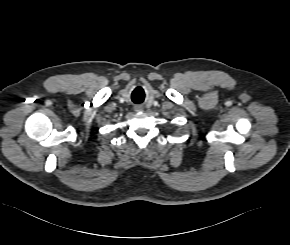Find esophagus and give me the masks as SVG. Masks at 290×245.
<instances>
[{"instance_id":"esophagus-1","label":"esophagus","mask_w":290,"mask_h":245,"mask_svg":"<svg viewBox=\"0 0 290 245\" xmlns=\"http://www.w3.org/2000/svg\"><path fill=\"white\" fill-rule=\"evenodd\" d=\"M139 108H140V107H136L135 110H136V111H139V110H138Z\"/></svg>"}]
</instances>
